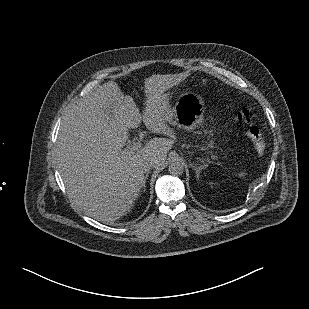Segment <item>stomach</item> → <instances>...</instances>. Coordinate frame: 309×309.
<instances>
[{
	"mask_svg": "<svg viewBox=\"0 0 309 309\" xmlns=\"http://www.w3.org/2000/svg\"><path fill=\"white\" fill-rule=\"evenodd\" d=\"M205 109L202 98L195 95H184L170 111L168 121L178 127H194L203 121Z\"/></svg>",
	"mask_w": 309,
	"mask_h": 309,
	"instance_id": "obj_1",
	"label": "stomach"
}]
</instances>
